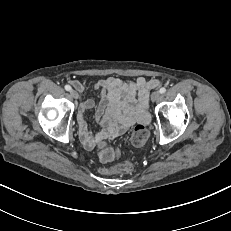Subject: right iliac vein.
<instances>
[{"mask_svg":"<svg viewBox=\"0 0 231 231\" xmlns=\"http://www.w3.org/2000/svg\"><path fill=\"white\" fill-rule=\"evenodd\" d=\"M70 94L74 99H78V97H79V94L75 90H71Z\"/></svg>","mask_w":231,"mask_h":231,"instance_id":"right-iliac-vein-1","label":"right iliac vein"}]
</instances>
